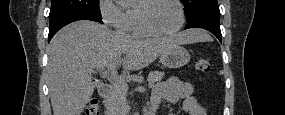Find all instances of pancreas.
<instances>
[{"label": "pancreas", "mask_w": 285, "mask_h": 115, "mask_svg": "<svg viewBox=\"0 0 285 115\" xmlns=\"http://www.w3.org/2000/svg\"><path fill=\"white\" fill-rule=\"evenodd\" d=\"M164 72L152 71L148 75V81L152 84L159 82L164 77ZM128 86L113 84V88L105 99V107L108 115H121L127 109Z\"/></svg>", "instance_id": "pancreas-1"}]
</instances>
